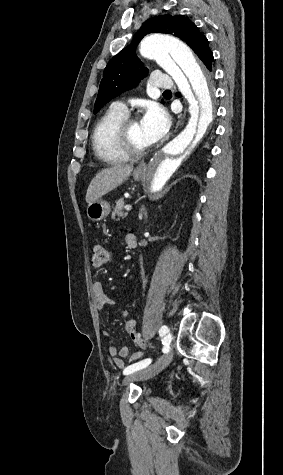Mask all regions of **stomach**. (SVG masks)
Here are the masks:
<instances>
[{
    "instance_id": "1",
    "label": "stomach",
    "mask_w": 283,
    "mask_h": 475,
    "mask_svg": "<svg viewBox=\"0 0 283 475\" xmlns=\"http://www.w3.org/2000/svg\"><path fill=\"white\" fill-rule=\"evenodd\" d=\"M141 170H143V172H141ZM147 174L148 168H146V166H139V168L133 172V180H135V182H145ZM109 212L110 206L108 202H105V200H96V202L88 204L87 216L89 220H92V222H100V220H104Z\"/></svg>"
}]
</instances>
